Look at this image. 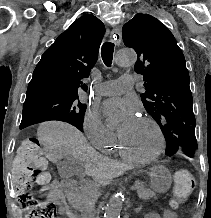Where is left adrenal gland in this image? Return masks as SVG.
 <instances>
[{
	"mask_svg": "<svg viewBox=\"0 0 211 218\" xmlns=\"http://www.w3.org/2000/svg\"><path fill=\"white\" fill-rule=\"evenodd\" d=\"M136 212H140L141 210V206H139V208H135Z\"/></svg>",
	"mask_w": 211,
	"mask_h": 218,
	"instance_id": "left-adrenal-gland-1",
	"label": "left adrenal gland"
}]
</instances>
